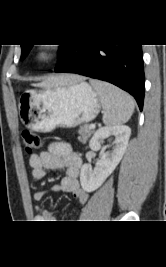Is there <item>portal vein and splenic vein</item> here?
I'll use <instances>...</instances> for the list:
<instances>
[{"mask_svg": "<svg viewBox=\"0 0 166 267\" xmlns=\"http://www.w3.org/2000/svg\"><path fill=\"white\" fill-rule=\"evenodd\" d=\"M89 127H90L91 129H94V128H95V124H91Z\"/></svg>", "mask_w": 166, "mask_h": 267, "instance_id": "1", "label": "portal vein and splenic vein"}]
</instances>
